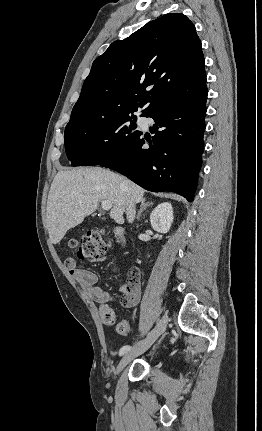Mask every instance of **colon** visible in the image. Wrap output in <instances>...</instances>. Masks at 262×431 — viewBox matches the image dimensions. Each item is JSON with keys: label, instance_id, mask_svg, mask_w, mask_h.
Listing matches in <instances>:
<instances>
[{"label": "colon", "instance_id": "5ec220e1", "mask_svg": "<svg viewBox=\"0 0 262 431\" xmlns=\"http://www.w3.org/2000/svg\"><path fill=\"white\" fill-rule=\"evenodd\" d=\"M109 248V244L97 231L91 232L81 239H70L68 242V249L73 251L81 261H93L103 256ZM101 318L106 324L114 323V319L110 313L101 314ZM116 330L119 334L125 335L129 333L130 328L126 321H120L116 324Z\"/></svg>", "mask_w": 262, "mask_h": 431}]
</instances>
